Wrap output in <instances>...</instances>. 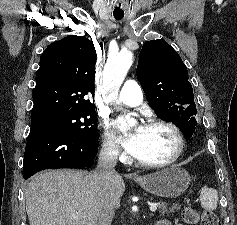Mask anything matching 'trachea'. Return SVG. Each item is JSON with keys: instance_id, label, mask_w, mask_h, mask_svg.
Segmentation results:
<instances>
[{"instance_id": "obj_1", "label": "trachea", "mask_w": 237, "mask_h": 225, "mask_svg": "<svg viewBox=\"0 0 237 225\" xmlns=\"http://www.w3.org/2000/svg\"><path fill=\"white\" fill-rule=\"evenodd\" d=\"M116 19H118V20H120L121 18H119V17H115Z\"/></svg>"}]
</instances>
